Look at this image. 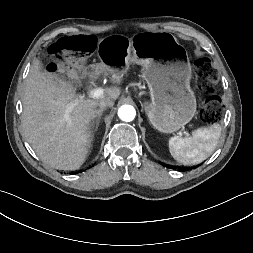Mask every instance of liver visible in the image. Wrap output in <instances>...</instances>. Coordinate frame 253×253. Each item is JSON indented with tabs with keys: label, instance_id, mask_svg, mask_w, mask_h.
I'll return each instance as SVG.
<instances>
[{
	"label": "liver",
	"instance_id": "liver-1",
	"mask_svg": "<svg viewBox=\"0 0 253 253\" xmlns=\"http://www.w3.org/2000/svg\"><path fill=\"white\" fill-rule=\"evenodd\" d=\"M111 75L120 84L124 73L100 68L97 74ZM117 87L109 88L98 99H85L76 94L68 82L52 80L35 61L25 82L22 128L24 136L40 160L58 170H77L90 152L91 121L102 99L116 100Z\"/></svg>",
	"mask_w": 253,
	"mask_h": 253
}]
</instances>
